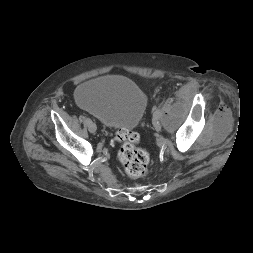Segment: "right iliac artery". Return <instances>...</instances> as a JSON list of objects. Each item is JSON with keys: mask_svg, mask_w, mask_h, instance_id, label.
I'll return each instance as SVG.
<instances>
[{"mask_svg": "<svg viewBox=\"0 0 253 253\" xmlns=\"http://www.w3.org/2000/svg\"><path fill=\"white\" fill-rule=\"evenodd\" d=\"M84 120L86 121L87 124H89L91 122V120L89 118H85Z\"/></svg>", "mask_w": 253, "mask_h": 253, "instance_id": "right-iliac-artery-1", "label": "right iliac artery"}]
</instances>
